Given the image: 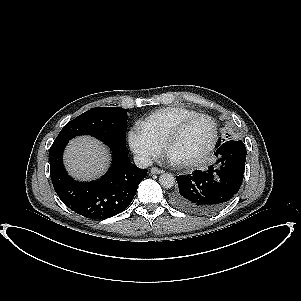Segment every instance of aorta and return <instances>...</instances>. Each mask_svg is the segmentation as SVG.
Wrapping results in <instances>:
<instances>
[{
	"instance_id": "aorta-1",
	"label": "aorta",
	"mask_w": 301,
	"mask_h": 301,
	"mask_svg": "<svg viewBox=\"0 0 301 301\" xmlns=\"http://www.w3.org/2000/svg\"><path fill=\"white\" fill-rule=\"evenodd\" d=\"M159 184L163 188H171L175 184V178L171 173H163L159 177Z\"/></svg>"
}]
</instances>
